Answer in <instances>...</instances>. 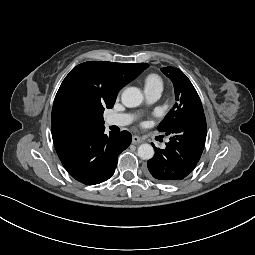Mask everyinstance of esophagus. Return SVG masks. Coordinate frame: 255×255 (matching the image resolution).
I'll return each instance as SVG.
<instances>
[{
  "mask_svg": "<svg viewBox=\"0 0 255 255\" xmlns=\"http://www.w3.org/2000/svg\"><path fill=\"white\" fill-rule=\"evenodd\" d=\"M142 142H143V140H142L139 136L134 135V136L132 137V143H133V144H140V143H142Z\"/></svg>",
  "mask_w": 255,
  "mask_h": 255,
  "instance_id": "1",
  "label": "esophagus"
}]
</instances>
